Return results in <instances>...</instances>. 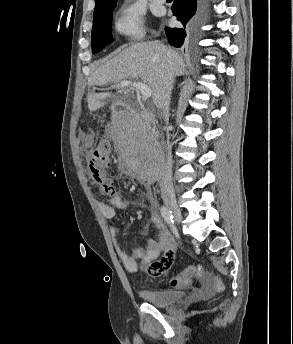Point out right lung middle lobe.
<instances>
[{"label": "right lung middle lobe", "instance_id": "dd1d6c3e", "mask_svg": "<svg viewBox=\"0 0 293 344\" xmlns=\"http://www.w3.org/2000/svg\"><path fill=\"white\" fill-rule=\"evenodd\" d=\"M115 6L116 3H113L94 10V21L91 35L93 54L101 51L105 46L113 41L111 23L112 11Z\"/></svg>", "mask_w": 293, "mask_h": 344}]
</instances>
